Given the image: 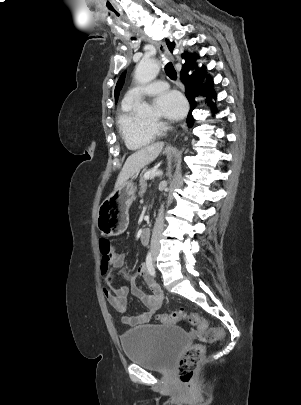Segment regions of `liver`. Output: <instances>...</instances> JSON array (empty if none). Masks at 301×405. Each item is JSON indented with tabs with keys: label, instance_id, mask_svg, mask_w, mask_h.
Instances as JSON below:
<instances>
[{
	"label": "liver",
	"instance_id": "6515ba94",
	"mask_svg": "<svg viewBox=\"0 0 301 405\" xmlns=\"http://www.w3.org/2000/svg\"><path fill=\"white\" fill-rule=\"evenodd\" d=\"M163 148L164 143L157 142L149 146H145L135 153L131 154L127 158L117 178L115 189L119 188L129 178L134 177L142 168L155 160L161 154ZM173 150V148L167 147L164 149L163 154H169Z\"/></svg>",
	"mask_w": 301,
	"mask_h": 405
}]
</instances>
